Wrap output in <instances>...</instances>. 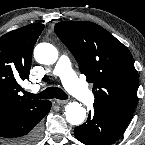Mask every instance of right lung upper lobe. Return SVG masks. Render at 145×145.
Returning <instances> with one entry per match:
<instances>
[{
	"mask_svg": "<svg viewBox=\"0 0 145 145\" xmlns=\"http://www.w3.org/2000/svg\"><path fill=\"white\" fill-rule=\"evenodd\" d=\"M43 29V24H30L0 37V119L42 102L20 96L19 82L29 77L33 47Z\"/></svg>",
	"mask_w": 145,
	"mask_h": 145,
	"instance_id": "cb5924a9",
	"label": "right lung upper lobe"
}]
</instances>
